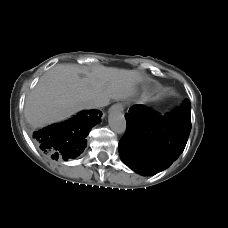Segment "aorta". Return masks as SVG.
Returning a JSON list of instances; mask_svg holds the SVG:
<instances>
[{
  "instance_id": "762f6f07",
  "label": "aorta",
  "mask_w": 228,
  "mask_h": 228,
  "mask_svg": "<svg viewBox=\"0 0 228 228\" xmlns=\"http://www.w3.org/2000/svg\"><path fill=\"white\" fill-rule=\"evenodd\" d=\"M110 128L118 134L126 131V120L123 113L119 109H111L108 117Z\"/></svg>"
}]
</instances>
